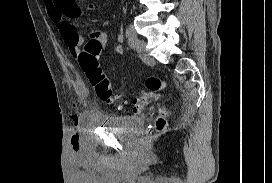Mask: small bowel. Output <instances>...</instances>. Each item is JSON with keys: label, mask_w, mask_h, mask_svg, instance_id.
I'll list each match as a JSON object with an SVG mask.
<instances>
[{"label": "small bowel", "mask_w": 272, "mask_h": 183, "mask_svg": "<svg viewBox=\"0 0 272 183\" xmlns=\"http://www.w3.org/2000/svg\"><path fill=\"white\" fill-rule=\"evenodd\" d=\"M47 9L49 18L57 24L60 34L68 47L70 53L74 57H78L81 51V46L84 43V38L77 33L75 27L69 23L66 18L77 17L80 10L74 0H43ZM88 11L95 9L93 4L86 6ZM90 40L99 41L103 47L110 48L112 53L120 55L123 53L121 45L110 47L109 38L106 32L102 30H92L89 34ZM123 39L122 34L117 36L118 42Z\"/></svg>", "instance_id": "small-bowel-1"}]
</instances>
